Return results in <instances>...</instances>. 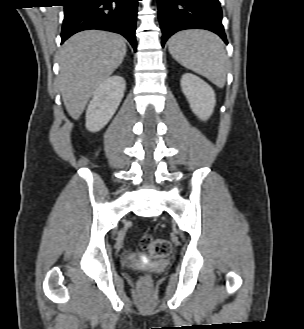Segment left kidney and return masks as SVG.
<instances>
[{
    "instance_id": "1",
    "label": "left kidney",
    "mask_w": 304,
    "mask_h": 329,
    "mask_svg": "<svg viewBox=\"0 0 304 329\" xmlns=\"http://www.w3.org/2000/svg\"><path fill=\"white\" fill-rule=\"evenodd\" d=\"M182 92L186 96L193 113L201 120H207L216 103L213 89L201 78L185 73L181 78Z\"/></svg>"
}]
</instances>
